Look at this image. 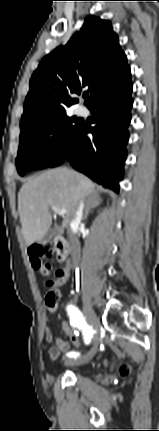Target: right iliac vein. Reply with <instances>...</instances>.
<instances>
[{
    "label": "right iliac vein",
    "mask_w": 159,
    "mask_h": 431,
    "mask_svg": "<svg viewBox=\"0 0 159 431\" xmlns=\"http://www.w3.org/2000/svg\"><path fill=\"white\" fill-rule=\"evenodd\" d=\"M83 312H84V315H85L88 323L95 330L96 337H98V331H99V319H98V317L96 316L94 311L88 305L83 306ZM97 348H98V341L96 340L93 348L88 353H86L85 355L78 357V358L69 359L66 361V364L67 365H82V364L89 362L94 357V355L96 354Z\"/></svg>",
    "instance_id": "63e3f726"
}]
</instances>
